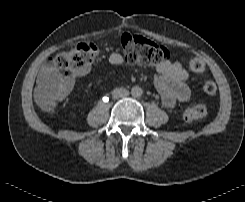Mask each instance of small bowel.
<instances>
[{
	"mask_svg": "<svg viewBox=\"0 0 245 202\" xmlns=\"http://www.w3.org/2000/svg\"><path fill=\"white\" fill-rule=\"evenodd\" d=\"M108 62L111 65L118 66L122 64L123 58L118 52H111L108 55ZM157 75L154 80L162 103L167 108L174 107L178 102H187L190 99V89L187 84L189 74L179 61L166 60L156 66ZM53 80L51 73H40L37 77V93ZM69 88L68 94L74 87L71 78L67 79Z\"/></svg>",
	"mask_w": 245,
	"mask_h": 202,
	"instance_id": "1",
	"label": "small bowel"
}]
</instances>
